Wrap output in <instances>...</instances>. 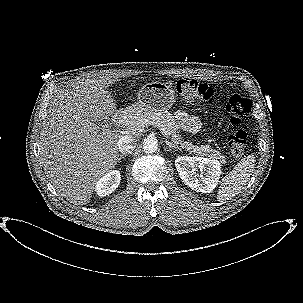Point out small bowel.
Instances as JSON below:
<instances>
[{"mask_svg": "<svg viewBox=\"0 0 303 303\" xmlns=\"http://www.w3.org/2000/svg\"><path fill=\"white\" fill-rule=\"evenodd\" d=\"M176 119L181 128L187 133L195 134L200 129V120L196 116L189 115L184 111H178Z\"/></svg>", "mask_w": 303, "mask_h": 303, "instance_id": "small-bowel-1", "label": "small bowel"}]
</instances>
